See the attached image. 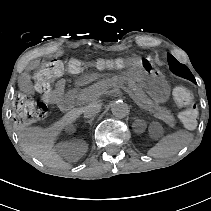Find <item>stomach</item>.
<instances>
[{"label":"stomach","mask_w":211,"mask_h":211,"mask_svg":"<svg viewBox=\"0 0 211 211\" xmlns=\"http://www.w3.org/2000/svg\"><path fill=\"white\" fill-rule=\"evenodd\" d=\"M124 74L143 87L156 103H163L168 100L170 87L161 74L148 72L143 69H129ZM98 78V74H91L86 76L85 81L91 82Z\"/></svg>","instance_id":"stomach-1"}]
</instances>
